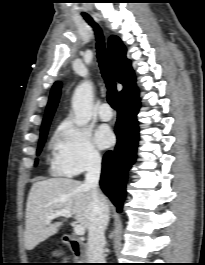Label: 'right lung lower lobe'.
<instances>
[{
	"label": "right lung lower lobe",
	"mask_w": 205,
	"mask_h": 265,
	"mask_svg": "<svg viewBox=\"0 0 205 265\" xmlns=\"http://www.w3.org/2000/svg\"><path fill=\"white\" fill-rule=\"evenodd\" d=\"M139 108L138 97L127 104L118 105L115 127L117 144L113 151H108L103 157L100 186L118 212H121L126 196L127 172L136 158L139 140L136 115Z\"/></svg>",
	"instance_id": "right-lung-lower-lobe-1"
}]
</instances>
